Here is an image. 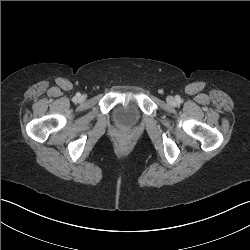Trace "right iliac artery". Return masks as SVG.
<instances>
[{
  "label": "right iliac artery",
  "mask_w": 250,
  "mask_h": 250,
  "mask_svg": "<svg viewBox=\"0 0 250 250\" xmlns=\"http://www.w3.org/2000/svg\"><path fill=\"white\" fill-rule=\"evenodd\" d=\"M79 96H80V94H79V93H77L76 97H79Z\"/></svg>",
  "instance_id": "obj_1"
}]
</instances>
